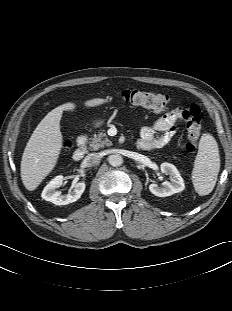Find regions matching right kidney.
Listing matches in <instances>:
<instances>
[{
    "mask_svg": "<svg viewBox=\"0 0 232 311\" xmlns=\"http://www.w3.org/2000/svg\"><path fill=\"white\" fill-rule=\"evenodd\" d=\"M64 181L62 175L56 176L52 179L42 191V198L46 201H50L55 205H66L77 201L85 190V183L79 182L75 185L73 191L66 195H62L61 192L56 189L59 188Z\"/></svg>",
    "mask_w": 232,
    "mask_h": 311,
    "instance_id": "right-kidney-1",
    "label": "right kidney"
}]
</instances>
